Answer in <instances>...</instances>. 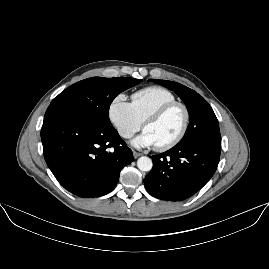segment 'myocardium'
Returning <instances> with one entry per match:
<instances>
[{"instance_id":"f54148a6","label":"myocardium","mask_w":269,"mask_h":269,"mask_svg":"<svg viewBox=\"0 0 269 269\" xmlns=\"http://www.w3.org/2000/svg\"><path fill=\"white\" fill-rule=\"evenodd\" d=\"M179 108L181 109V111L183 112L184 115V122H183V126L181 131L179 132V134L169 143L163 145V146H156V149L160 152H165L168 151L174 147H176L186 136L188 129H189V124H190V112L189 109L187 108V106L181 102L178 101H172L169 103H166L158 108H156L155 110L151 111L145 118L144 122H143V130H145V126L148 122H150L151 120L158 118L162 115H164L165 113H167L168 111H170L173 108Z\"/></svg>"}]
</instances>
